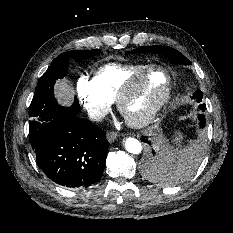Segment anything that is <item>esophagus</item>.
<instances>
[{
    "label": "esophagus",
    "instance_id": "1",
    "mask_svg": "<svg viewBox=\"0 0 233 233\" xmlns=\"http://www.w3.org/2000/svg\"><path fill=\"white\" fill-rule=\"evenodd\" d=\"M117 133L116 132H111V131H109V132H107V135H106V137H107V140L110 142V143H112L116 138H117Z\"/></svg>",
    "mask_w": 233,
    "mask_h": 233
}]
</instances>
